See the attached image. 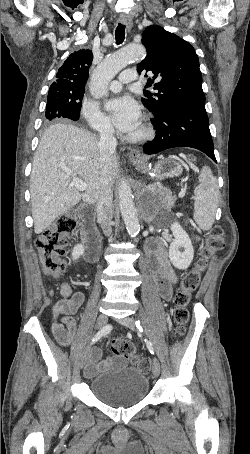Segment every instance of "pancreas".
Here are the masks:
<instances>
[{
  "label": "pancreas",
  "mask_w": 250,
  "mask_h": 454,
  "mask_svg": "<svg viewBox=\"0 0 250 454\" xmlns=\"http://www.w3.org/2000/svg\"><path fill=\"white\" fill-rule=\"evenodd\" d=\"M165 202H166V204H167L168 206H172V205H173V202H174V197L171 196V195H169V196L167 197V199H166Z\"/></svg>",
  "instance_id": "pancreas-1"
}]
</instances>
